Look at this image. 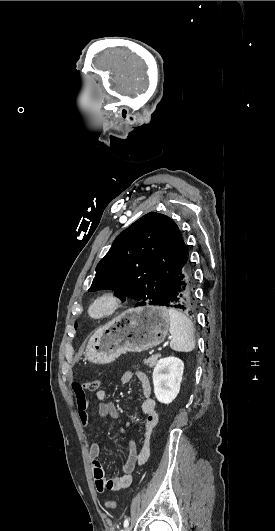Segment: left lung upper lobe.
<instances>
[{
	"label": "left lung upper lobe",
	"instance_id": "left-lung-upper-lobe-1",
	"mask_svg": "<svg viewBox=\"0 0 275 531\" xmlns=\"http://www.w3.org/2000/svg\"><path fill=\"white\" fill-rule=\"evenodd\" d=\"M187 259L178 226L168 216L150 212L117 236L88 291L108 288L122 301L126 296L136 300V306L161 305Z\"/></svg>",
	"mask_w": 275,
	"mask_h": 531
}]
</instances>
